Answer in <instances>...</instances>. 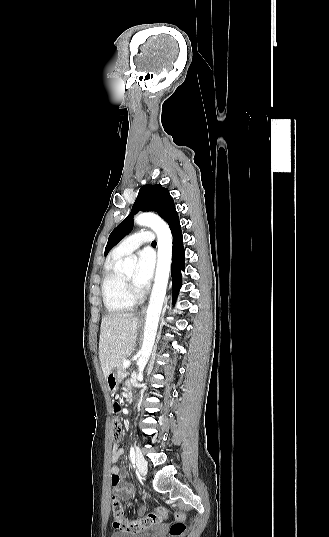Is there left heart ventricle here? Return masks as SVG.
<instances>
[{
  "label": "left heart ventricle",
  "mask_w": 329,
  "mask_h": 537,
  "mask_svg": "<svg viewBox=\"0 0 329 537\" xmlns=\"http://www.w3.org/2000/svg\"><path fill=\"white\" fill-rule=\"evenodd\" d=\"M136 270L132 268L131 270L127 271L124 275L125 277L134 285V278H135Z\"/></svg>",
  "instance_id": "left-heart-ventricle-1"
}]
</instances>
